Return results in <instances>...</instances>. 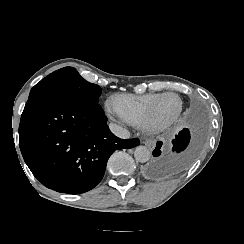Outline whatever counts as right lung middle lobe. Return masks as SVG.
<instances>
[{"instance_id": "obj_1", "label": "right lung middle lobe", "mask_w": 244, "mask_h": 244, "mask_svg": "<svg viewBox=\"0 0 244 244\" xmlns=\"http://www.w3.org/2000/svg\"><path fill=\"white\" fill-rule=\"evenodd\" d=\"M101 88L82 78L72 67L59 69L39 83L30 91L32 96H61L76 100L78 102L94 105L98 104Z\"/></svg>"}]
</instances>
